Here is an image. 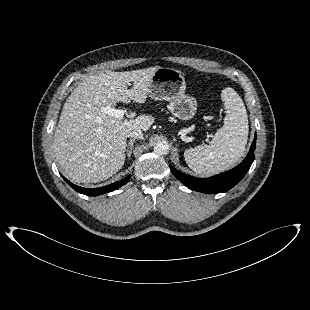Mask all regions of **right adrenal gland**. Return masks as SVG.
Returning a JSON list of instances; mask_svg holds the SVG:
<instances>
[{"label": "right adrenal gland", "mask_w": 310, "mask_h": 310, "mask_svg": "<svg viewBox=\"0 0 310 310\" xmlns=\"http://www.w3.org/2000/svg\"><path fill=\"white\" fill-rule=\"evenodd\" d=\"M135 140H136V138L130 139V141L127 145L126 152H127L128 159H130V157H131L132 149H133V145H134Z\"/></svg>", "instance_id": "obj_1"}]
</instances>
